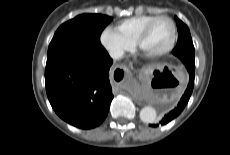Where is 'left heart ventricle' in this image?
<instances>
[{
  "instance_id": "left-heart-ventricle-1",
  "label": "left heart ventricle",
  "mask_w": 230,
  "mask_h": 155,
  "mask_svg": "<svg viewBox=\"0 0 230 155\" xmlns=\"http://www.w3.org/2000/svg\"><path fill=\"white\" fill-rule=\"evenodd\" d=\"M172 39V26L169 21L161 19L150 28L142 47L146 52H158L165 49Z\"/></svg>"
}]
</instances>
